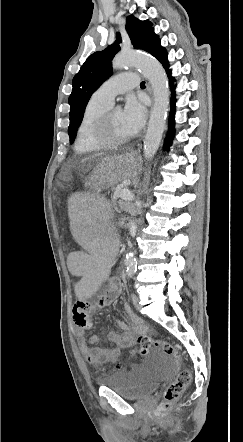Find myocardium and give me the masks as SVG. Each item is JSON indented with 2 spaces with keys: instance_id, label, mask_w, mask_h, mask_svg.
Masks as SVG:
<instances>
[{
  "instance_id": "1",
  "label": "myocardium",
  "mask_w": 243,
  "mask_h": 442,
  "mask_svg": "<svg viewBox=\"0 0 243 442\" xmlns=\"http://www.w3.org/2000/svg\"><path fill=\"white\" fill-rule=\"evenodd\" d=\"M114 109L106 110L95 122L92 130L94 140L103 147H117L131 140V135L122 139H113L109 136L110 116Z\"/></svg>"
}]
</instances>
